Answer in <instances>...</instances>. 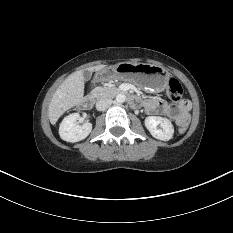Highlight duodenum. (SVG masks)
<instances>
[{
    "instance_id": "duodenum-1",
    "label": "duodenum",
    "mask_w": 233,
    "mask_h": 233,
    "mask_svg": "<svg viewBox=\"0 0 233 233\" xmlns=\"http://www.w3.org/2000/svg\"><path fill=\"white\" fill-rule=\"evenodd\" d=\"M117 93H119V94H127V92L124 91V90H122V89H118ZM128 99H129L130 103L133 104V105H138L139 102H140L139 98H137L134 95H128ZM94 101H95L94 96H92V95H86V96H84L81 99L79 105H80V107L82 109L87 110V109H90L93 106Z\"/></svg>"
}]
</instances>
